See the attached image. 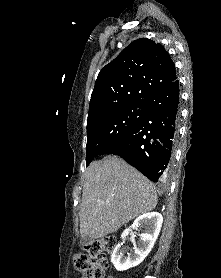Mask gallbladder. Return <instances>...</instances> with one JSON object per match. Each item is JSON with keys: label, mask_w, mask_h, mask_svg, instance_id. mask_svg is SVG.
Returning <instances> with one entry per match:
<instances>
[{"label": "gallbladder", "mask_w": 221, "mask_h": 278, "mask_svg": "<svg viewBox=\"0 0 221 278\" xmlns=\"http://www.w3.org/2000/svg\"><path fill=\"white\" fill-rule=\"evenodd\" d=\"M92 241H93V239L90 238L89 236L83 237V238L81 239V245H82V246H86V245L92 243Z\"/></svg>", "instance_id": "gallbladder-1"}]
</instances>
